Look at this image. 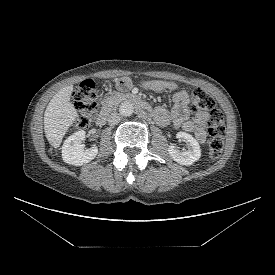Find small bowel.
<instances>
[{"label":"small bowel","mask_w":275,"mask_h":275,"mask_svg":"<svg viewBox=\"0 0 275 275\" xmlns=\"http://www.w3.org/2000/svg\"><path fill=\"white\" fill-rule=\"evenodd\" d=\"M143 85L156 92L174 91L173 107L170 111L163 106H157L154 109L153 116L156 122L161 126L172 124L175 128H183L187 132L194 134L199 142L205 141V124L209 115L205 111L198 112L194 117L190 118L189 112V96L186 91L180 89L175 83L169 81H146ZM132 80L128 77L120 78L116 87L123 91L131 88Z\"/></svg>","instance_id":"1"}]
</instances>
